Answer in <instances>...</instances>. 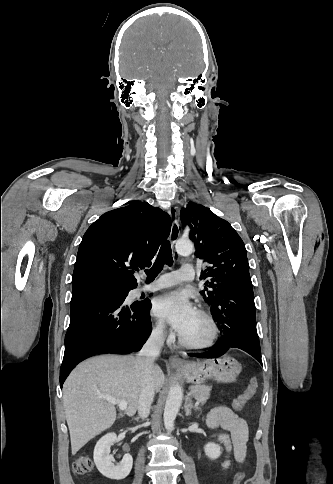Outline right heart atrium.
Masks as SVG:
<instances>
[{
    "label": "right heart atrium",
    "instance_id": "1",
    "mask_svg": "<svg viewBox=\"0 0 333 484\" xmlns=\"http://www.w3.org/2000/svg\"><path fill=\"white\" fill-rule=\"evenodd\" d=\"M167 334L166 326L162 321H157L153 327V336L158 340L165 339Z\"/></svg>",
    "mask_w": 333,
    "mask_h": 484
}]
</instances>
